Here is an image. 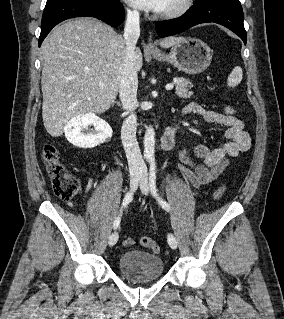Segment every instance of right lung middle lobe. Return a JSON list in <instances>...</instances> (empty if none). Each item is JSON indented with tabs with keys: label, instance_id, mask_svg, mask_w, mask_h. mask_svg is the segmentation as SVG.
I'll return each mask as SVG.
<instances>
[{
	"label": "right lung middle lobe",
	"instance_id": "right-lung-middle-lobe-1",
	"mask_svg": "<svg viewBox=\"0 0 284 319\" xmlns=\"http://www.w3.org/2000/svg\"><path fill=\"white\" fill-rule=\"evenodd\" d=\"M69 1H83V0H47L45 9L54 7L60 3L69 2ZM92 1H100V2H108V3H114L117 0H92Z\"/></svg>",
	"mask_w": 284,
	"mask_h": 319
}]
</instances>
